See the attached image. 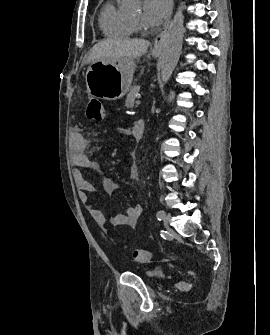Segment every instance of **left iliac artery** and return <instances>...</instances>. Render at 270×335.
Wrapping results in <instances>:
<instances>
[{"mask_svg":"<svg viewBox=\"0 0 270 335\" xmlns=\"http://www.w3.org/2000/svg\"><path fill=\"white\" fill-rule=\"evenodd\" d=\"M164 215H165V212L163 210H160L157 212L156 217L158 220H161Z\"/></svg>","mask_w":270,"mask_h":335,"instance_id":"44dca946","label":"left iliac artery"}]
</instances>
